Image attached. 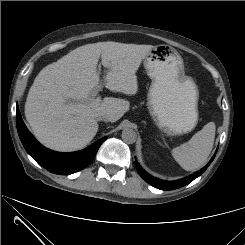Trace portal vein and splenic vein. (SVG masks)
Wrapping results in <instances>:
<instances>
[{"label":"portal vein and splenic vein","mask_w":245,"mask_h":245,"mask_svg":"<svg viewBox=\"0 0 245 245\" xmlns=\"http://www.w3.org/2000/svg\"><path fill=\"white\" fill-rule=\"evenodd\" d=\"M101 88H102V86L100 85L96 90H94L92 93H91V96H90V100H93L96 96H97V94H98V92H99V90H101ZM98 98H100V97H98Z\"/></svg>","instance_id":"obj_1"}]
</instances>
